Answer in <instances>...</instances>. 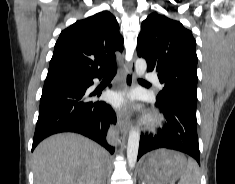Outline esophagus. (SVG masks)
<instances>
[{"mask_svg":"<svg viewBox=\"0 0 235 184\" xmlns=\"http://www.w3.org/2000/svg\"><path fill=\"white\" fill-rule=\"evenodd\" d=\"M135 63L132 60L125 71L123 90L127 92L135 83ZM118 124L122 134H127L131 127V110L124 104L118 114Z\"/></svg>","mask_w":235,"mask_h":184,"instance_id":"obj_1","label":"esophagus"}]
</instances>
